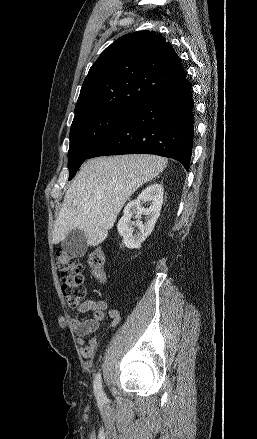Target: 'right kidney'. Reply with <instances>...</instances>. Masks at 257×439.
<instances>
[{"label":"right kidney","instance_id":"ca27d5eb","mask_svg":"<svg viewBox=\"0 0 257 439\" xmlns=\"http://www.w3.org/2000/svg\"><path fill=\"white\" fill-rule=\"evenodd\" d=\"M163 192L161 184L153 183L146 187L136 200L130 201L125 206L124 214L118 222L117 229L127 248H139L141 243L151 234L160 215ZM144 203L148 204L149 207L144 208L142 206ZM142 214L146 215L144 223L141 221ZM132 218H135L136 221H131ZM133 226L138 228L135 234H133Z\"/></svg>","mask_w":257,"mask_h":439}]
</instances>
